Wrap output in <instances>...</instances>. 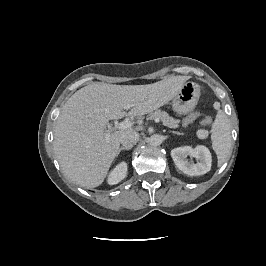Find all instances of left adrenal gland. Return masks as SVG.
<instances>
[{
    "instance_id": "obj_1",
    "label": "left adrenal gland",
    "mask_w": 266,
    "mask_h": 266,
    "mask_svg": "<svg viewBox=\"0 0 266 266\" xmlns=\"http://www.w3.org/2000/svg\"><path fill=\"white\" fill-rule=\"evenodd\" d=\"M169 133H173V134H177V135H183V133H179V132H176V131H169Z\"/></svg>"
}]
</instances>
